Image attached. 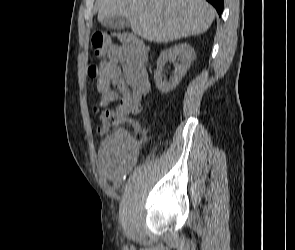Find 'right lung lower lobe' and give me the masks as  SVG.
Returning a JSON list of instances; mask_svg holds the SVG:
<instances>
[{
  "mask_svg": "<svg viewBox=\"0 0 295 250\" xmlns=\"http://www.w3.org/2000/svg\"><path fill=\"white\" fill-rule=\"evenodd\" d=\"M211 3L217 10L218 14L221 15L223 11V0H207Z\"/></svg>",
  "mask_w": 295,
  "mask_h": 250,
  "instance_id": "right-lung-lower-lobe-1",
  "label": "right lung lower lobe"
}]
</instances>
